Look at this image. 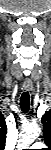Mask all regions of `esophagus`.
Segmentation results:
<instances>
[{
	"mask_svg": "<svg viewBox=\"0 0 51 150\" xmlns=\"http://www.w3.org/2000/svg\"><path fill=\"white\" fill-rule=\"evenodd\" d=\"M23 90L28 91V92H31L33 90V85H32V82L30 80L24 81Z\"/></svg>",
	"mask_w": 51,
	"mask_h": 150,
	"instance_id": "1",
	"label": "esophagus"
}]
</instances>
